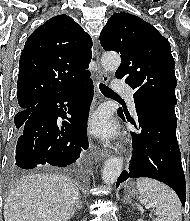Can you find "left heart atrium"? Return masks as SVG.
I'll return each mask as SVG.
<instances>
[{"label":"left heart atrium","instance_id":"obj_1","mask_svg":"<svg viewBox=\"0 0 190 221\" xmlns=\"http://www.w3.org/2000/svg\"><path fill=\"white\" fill-rule=\"evenodd\" d=\"M90 132L104 140H112L118 136V125L106 109H99L89 119Z\"/></svg>","mask_w":190,"mask_h":221}]
</instances>
